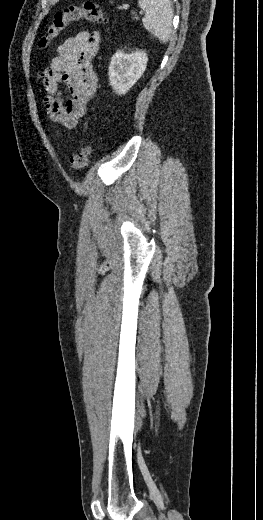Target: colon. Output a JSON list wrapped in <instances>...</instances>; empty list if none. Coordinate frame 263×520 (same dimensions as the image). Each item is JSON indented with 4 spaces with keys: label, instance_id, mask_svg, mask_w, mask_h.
<instances>
[{
    "label": "colon",
    "instance_id": "obj_1",
    "mask_svg": "<svg viewBox=\"0 0 263 520\" xmlns=\"http://www.w3.org/2000/svg\"><path fill=\"white\" fill-rule=\"evenodd\" d=\"M80 20H86L95 24H106L108 22L106 13L94 2L87 1L81 6H70L54 15L45 33L40 38L38 46L41 48L47 47L71 24ZM90 152L89 146L81 147L79 151L70 158L68 162L69 168L71 170L86 168Z\"/></svg>",
    "mask_w": 263,
    "mask_h": 520
}]
</instances>
